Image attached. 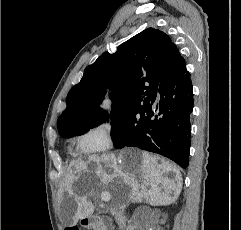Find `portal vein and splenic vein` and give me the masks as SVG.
Segmentation results:
<instances>
[{"label": "portal vein and splenic vein", "instance_id": "portal-vein-and-splenic-vein-1", "mask_svg": "<svg viewBox=\"0 0 241 230\" xmlns=\"http://www.w3.org/2000/svg\"><path fill=\"white\" fill-rule=\"evenodd\" d=\"M101 199H102V201L107 202L111 199V197L108 193H104V194L101 195Z\"/></svg>", "mask_w": 241, "mask_h": 230}]
</instances>
